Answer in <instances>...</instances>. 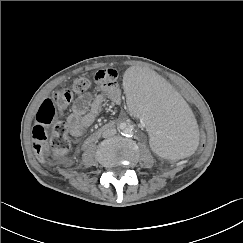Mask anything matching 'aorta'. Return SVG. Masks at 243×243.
Returning a JSON list of instances; mask_svg holds the SVG:
<instances>
[{
  "label": "aorta",
  "mask_w": 243,
  "mask_h": 243,
  "mask_svg": "<svg viewBox=\"0 0 243 243\" xmlns=\"http://www.w3.org/2000/svg\"><path fill=\"white\" fill-rule=\"evenodd\" d=\"M120 129L126 135H131L133 132V128L131 126H127L125 124L121 125Z\"/></svg>",
  "instance_id": "obj_1"
}]
</instances>
